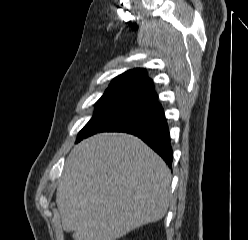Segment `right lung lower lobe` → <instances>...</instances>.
Listing matches in <instances>:
<instances>
[{
  "label": "right lung lower lobe",
  "instance_id": "obj_1",
  "mask_svg": "<svg viewBox=\"0 0 248 240\" xmlns=\"http://www.w3.org/2000/svg\"><path fill=\"white\" fill-rule=\"evenodd\" d=\"M100 132H126L142 139L171 167L173 151L163 108L157 97L133 103L104 118L78 141Z\"/></svg>",
  "mask_w": 248,
  "mask_h": 240
}]
</instances>
